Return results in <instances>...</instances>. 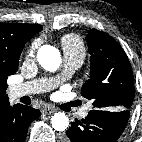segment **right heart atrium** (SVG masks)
Wrapping results in <instances>:
<instances>
[{"label": "right heart atrium", "instance_id": "right-heart-atrium-1", "mask_svg": "<svg viewBox=\"0 0 142 142\" xmlns=\"http://www.w3.org/2000/svg\"><path fill=\"white\" fill-rule=\"evenodd\" d=\"M38 46H39V43L38 42H35L33 43L27 50V53H26V60H31L35 57V53L38 49Z\"/></svg>", "mask_w": 142, "mask_h": 142}]
</instances>
